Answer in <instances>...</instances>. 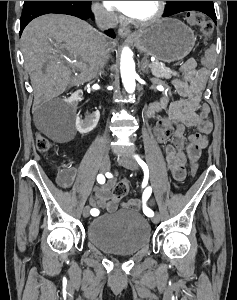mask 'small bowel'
Listing matches in <instances>:
<instances>
[{
  "label": "small bowel",
  "mask_w": 237,
  "mask_h": 300,
  "mask_svg": "<svg viewBox=\"0 0 237 300\" xmlns=\"http://www.w3.org/2000/svg\"><path fill=\"white\" fill-rule=\"evenodd\" d=\"M183 79L175 77L172 80L178 100L170 101L163 97L148 106L145 116L154 119L160 112L167 111V117H161L153 127L155 139L165 144V158L174 180L180 182L186 177V168L198 160L201 150L208 145V135L213 129L209 120L210 108L202 101V95L210 77V68L202 65L198 67L196 60L188 59L179 68ZM186 128H196L197 133L190 134L186 139ZM56 182L62 188L72 186L80 189L92 187L90 178L83 179L74 167H63L57 171ZM116 179L111 178L106 184L94 186L91 205L100 213L101 210L114 212L118 201L111 194ZM127 207L140 208L141 202L130 200ZM98 213V214H99Z\"/></svg>",
  "instance_id": "small-bowel-1"
}]
</instances>
